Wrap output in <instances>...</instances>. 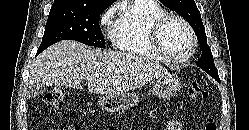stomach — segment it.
Here are the masks:
<instances>
[{
    "label": "stomach",
    "instance_id": "0dacf381",
    "mask_svg": "<svg viewBox=\"0 0 249 130\" xmlns=\"http://www.w3.org/2000/svg\"><path fill=\"white\" fill-rule=\"evenodd\" d=\"M181 84L178 79L173 76L165 75L156 79L153 86V94L160 99H170L180 90ZM139 96L136 93H120L102 96L98 104L103 111L119 112L129 109L136 105Z\"/></svg>",
    "mask_w": 249,
    "mask_h": 130
}]
</instances>
